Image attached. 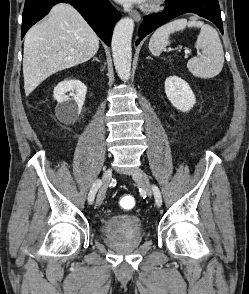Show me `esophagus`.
I'll list each match as a JSON object with an SVG mask.
<instances>
[{
	"label": "esophagus",
	"instance_id": "1",
	"mask_svg": "<svg viewBox=\"0 0 249 294\" xmlns=\"http://www.w3.org/2000/svg\"><path fill=\"white\" fill-rule=\"evenodd\" d=\"M129 15L137 22L141 20V15L136 10L130 11Z\"/></svg>",
	"mask_w": 249,
	"mask_h": 294
}]
</instances>
